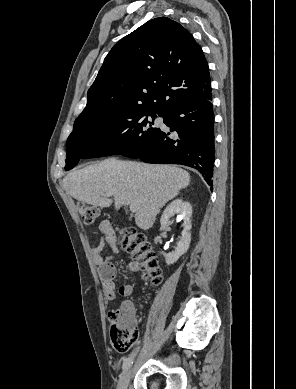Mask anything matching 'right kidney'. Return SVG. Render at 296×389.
I'll return each instance as SVG.
<instances>
[{
  "label": "right kidney",
  "instance_id": "right-kidney-1",
  "mask_svg": "<svg viewBox=\"0 0 296 389\" xmlns=\"http://www.w3.org/2000/svg\"><path fill=\"white\" fill-rule=\"evenodd\" d=\"M177 215V220H183V231L181 233V239L177 244L175 252L169 253L165 256L167 265L174 264L183 254H185L189 248L191 242V216L192 207L190 203L183 201L182 199H176L172 201L164 210L161 219V229H164L170 218Z\"/></svg>",
  "mask_w": 296,
  "mask_h": 389
}]
</instances>
